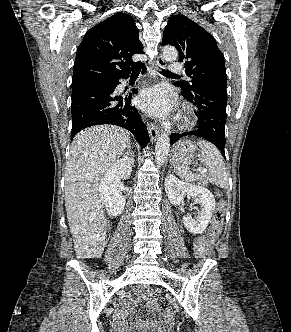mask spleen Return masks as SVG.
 Listing matches in <instances>:
<instances>
[{"label":"spleen","instance_id":"3e777b00","mask_svg":"<svg viewBox=\"0 0 291 332\" xmlns=\"http://www.w3.org/2000/svg\"><path fill=\"white\" fill-rule=\"evenodd\" d=\"M197 145L201 148L199 160L209 168L208 180L218 187L228 188V175L223 157L219 150L208 141H199ZM176 174L186 182L198 180L199 175L193 174L188 166H177Z\"/></svg>","mask_w":291,"mask_h":332}]
</instances>
